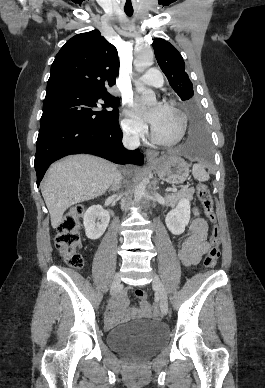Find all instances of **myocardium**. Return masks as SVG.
<instances>
[{"label":"myocardium","instance_id":"1","mask_svg":"<svg viewBox=\"0 0 265 388\" xmlns=\"http://www.w3.org/2000/svg\"><path fill=\"white\" fill-rule=\"evenodd\" d=\"M167 110H169L171 113L176 115L179 121V126L176 134L172 137H163L161 136L156 128L155 125H153L151 134L152 138L158 143L163 146H174L178 144L185 136L186 129H187V116L186 114L179 108L171 105V104H166L164 106Z\"/></svg>","mask_w":265,"mask_h":388}]
</instances>
